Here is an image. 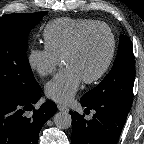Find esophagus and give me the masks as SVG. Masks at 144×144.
Wrapping results in <instances>:
<instances>
[{
    "instance_id": "1",
    "label": "esophagus",
    "mask_w": 144,
    "mask_h": 144,
    "mask_svg": "<svg viewBox=\"0 0 144 144\" xmlns=\"http://www.w3.org/2000/svg\"><path fill=\"white\" fill-rule=\"evenodd\" d=\"M57 108L61 112H68L69 111V109L66 106L62 105V104H58Z\"/></svg>"
}]
</instances>
